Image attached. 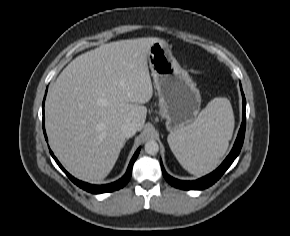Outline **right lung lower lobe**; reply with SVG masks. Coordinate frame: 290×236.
Masks as SVG:
<instances>
[{"mask_svg": "<svg viewBox=\"0 0 290 236\" xmlns=\"http://www.w3.org/2000/svg\"><path fill=\"white\" fill-rule=\"evenodd\" d=\"M47 92V90H46ZM43 113H44V101H43ZM43 131H44V135H45V139L47 140V136H46V132H45V128H44V117H43ZM140 148H138V150L135 152L134 156L132 157L130 164L128 166L127 172L125 173V175L119 179L116 182H113L111 184H106V185H92V184H88L85 182H82L80 180H77L76 178H74L73 176H71L63 167L62 165L59 163V161L56 159V157L53 155L52 151L50 150V154L52 155V157L54 158V160L57 162V164L59 165V167L63 170V172L70 178V180L75 183L77 186H79L80 188L91 192V193H104V192H112L115 190H118L120 188H122L123 186H125L132 174V167L133 164L135 162V160L138 157Z\"/></svg>", "mask_w": 290, "mask_h": 236, "instance_id": "right-lung-lower-lobe-1", "label": "right lung lower lobe"}]
</instances>
